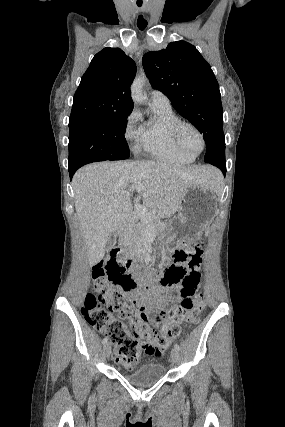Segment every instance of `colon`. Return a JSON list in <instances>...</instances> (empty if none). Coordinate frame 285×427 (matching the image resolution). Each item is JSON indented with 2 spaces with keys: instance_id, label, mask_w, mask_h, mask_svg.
Listing matches in <instances>:
<instances>
[{
  "instance_id": "colon-1",
  "label": "colon",
  "mask_w": 285,
  "mask_h": 427,
  "mask_svg": "<svg viewBox=\"0 0 285 427\" xmlns=\"http://www.w3.org/2000/svg\"><path fill=\"white\" fill-rule=\"evenodd\" d=\"M184 246V250H175L173 263L158 278V287L181 286L185 292L163 315V325L147 324L144 311L151 308L147 301L154 298L155 293L149 291L156 286L140 284L131 274L130 260L112 252L105 262L92 268L94 293L84 295L81 312L90 326L112 342L118 363L133 368L146 352L163 359L170 342L181 333L180 322L185 321L189 327L197 323L206 305L204 297L195 293L200 274L189 273L182 264L196 255L198 247L190 241Z\"/></svg>"
}]
</instances>
